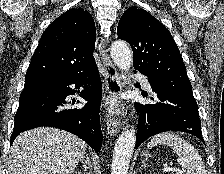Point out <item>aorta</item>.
<instances>
[{"mask_svg":"<svg viewBox=\"0 0 224 174\" xmlns=\"http://www.w3.org/2000/svg\"><path fill=\"white\" fill-rule=\"evenodd\" d=\"M110 53L120 70L127 72L131 68L133 62L132 51L125 41H115L111 46ZM135 142V130L125 128L115 144L111 174H128Z\"/></svg>","mask_w":224,"mask_h":174,"instance_id":"obj_1","label":"aorta"}]
</instances>
